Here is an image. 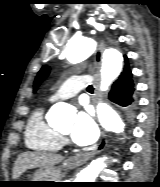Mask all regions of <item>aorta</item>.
<instances>
[{
  "label": "aorta",
  "mask_w": 160,
  "mask_h": 187,
  "mask_svg": "<svg viewBox=\"0 0 160 187\" xmlns=\"http://www.w3.org/2000/svg\"><path fill=\"white\" fill-rule=\"evenodd\" d=\"M96 40L91 37L72 38L66 48V58L71 63L81 62L90 57L96 50ZM123 65V56L115 49H106L103 53L101 67L102 91L108 90L111 83L119 76ZM72 108L65 103L55 104L49 111L48 117L51 121H63L71 117ZM98 119L101 126L114 133H122L125 124L120 116L111 107L104 103L97 106ZM107 157L93 160L76 177L75 182H95L99 173L106 167Z\"/></svg>",
  "instance_id": "1"
}]
</instances>
